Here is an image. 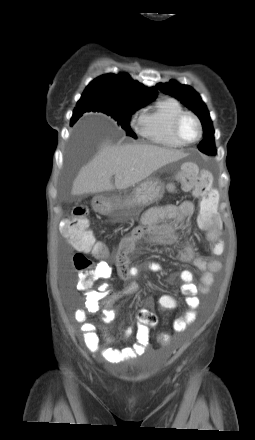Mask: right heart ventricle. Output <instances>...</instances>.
<instances>
[{"mask_svg":"<svg viewBox=\"0 0 255 440\" xmlns=\"http://www.w3.org/2000/svg\"><path fill=\"white\" fill-rule=\"evenodd\" d=\"M185 111L183 105L174 97L159 99L147 109L140 118V135L146 140L168 148H181L173 134L175 118Z\"/></svg>","mask_w":255,"mask_h":440,"instance_id":"right-heart-ventricle-1","label":"right heart ventricle"}]
</instances>
